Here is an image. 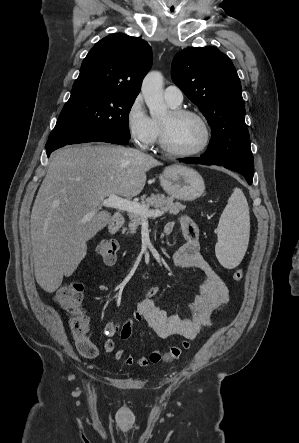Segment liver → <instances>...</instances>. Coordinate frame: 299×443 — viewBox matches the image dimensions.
Masks as SVG:
<instances>
[{
	"label": "liver",
	"mask_w": 299,
	"mask_h": 443,
	"mask_svg": "<svg viewBox=\"0 0 299 443\" xmlns=\"http://www.w3.org/2000/svg\"><path fill=\"white\" fill-rule=\"evenodd\" d=\"M161 163L133 148L112 145L65 147L51 156L30 220L37 283L53 293L87 253V242L110 221L102 210L111 194L139 195L146 172Z\"/></svg>",
	"instance_id": "obj_1"
}]
</instances>
